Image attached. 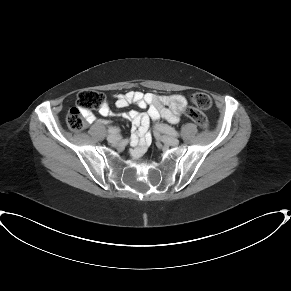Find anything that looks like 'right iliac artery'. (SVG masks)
I'll return each instance as SVG.
<instances>
[{
  "instance_id": "1",
  "label": "right iliac artery",
  "mask_w": 291,
  "mask_h": 291,
  "mask_svg": "<svg viewBox=\"0 0 291 291\" xmlns=\"http://www.w3.org/2000/svg\"><path fill=\"white\" fill-rule=\"evenodd\" d=\"M119 131H120V130L117 129V128H109V129H108V132H109V133H112V134H113V133H118Z\"/></svg>"
}]
</instances>
